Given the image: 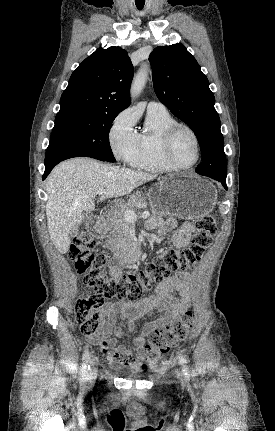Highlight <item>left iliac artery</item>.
Returning a JSON list of instances; mask_svg holds the SVG:
<instances>
[{"label": "left iliac artery", "mask_w": 275, "mask_h": 431, "mask_svg": "<svg viewBox=\"0 0 275 431\" xmlns=\"http://www.w3.org/2000/svg\"><path fill=\"white\" fill-rule=\"evenodd\" d=\"M179 363L182 366V371H183L184 375H186V376L189 375V369H188V366H187V360L181 354L179 355Z\"/></svg>", "instance_id": "1"}]
</instances>
